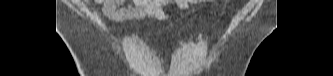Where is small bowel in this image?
<instances>
[{
  "mask_svg": "<svg viewBox=\"0 0 333 76\" xmlns=\"http://www.w3.org/2000/svg\"><path fill=\"white\" fill-rule=\"evenodd\" d=\"M195 0H136L126 4L124 0H97L102 5L101 13L110 21L120 22L130 18L151 17L157 20H168L165 13L167 5L177 6L183 10H190Z\"/></svg>",
  "mask_w": 333,
  "mask_h": 76,
  "instance_id": "1",
  "label": "small bowel"
}]
</instances>
